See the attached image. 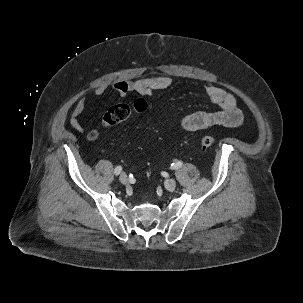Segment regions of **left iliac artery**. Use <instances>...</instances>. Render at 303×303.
I'll list each match as a JSON object with an SVG mask.
<instances>
[{"label":"left iliac artery","mask_w":303,"mask_h":303,"mask_svg":"<svg viewBox=\"0 0 303 303\" xmlns=\"http://www.w3.org/2000/svg\"><path fill=\"white\" fill-rule=\"evenodd\" d=\"M182 161H176L174 163L171 164V169H178L182 166Z\"/></svg>","instance_id":"left-iliac-artery-1"}]
</instances>
